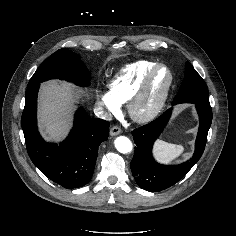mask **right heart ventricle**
Wrapping results in <instances>:
<instances>
[{"mask_svg": "<svg viewBox=\"0 0 236 236\" xmlns=\"http://www.w3.org/2000/svg\"><path fill=\"white\" fill-rule=\"evenodd\" d=\"M157 63L141 60L125 66L110 83V93L121 104H128L146 74Z\"/></svg>", "mask_w": 236, "mask_h": 236, "instance_id": "e07e8e85", "label": "right heart ventricle"}]
</instances>
